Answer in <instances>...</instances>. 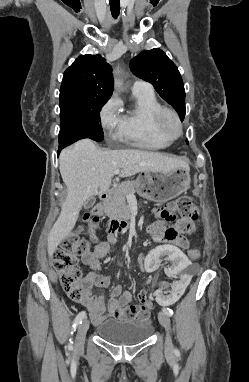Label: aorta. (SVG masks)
Masks as SVG:
<instances>
[{"instance_id":"aorta-1","label":"aorta","mask_w":249,"mask_h":382,"mask_svg":"<svg viewBox=\"0 0 249 382\" xmlns=\"http://www.w3.org/2000/svg\"><path fill=\"white\" fill-rule=\"evenodd\" d=\"M115 73L116 74L119 73V69L118 68L116 69ZM114 86L115 87H120L121 86V83H120V81L117 78L114 79Z\"/></svg>"}]
</instances>
